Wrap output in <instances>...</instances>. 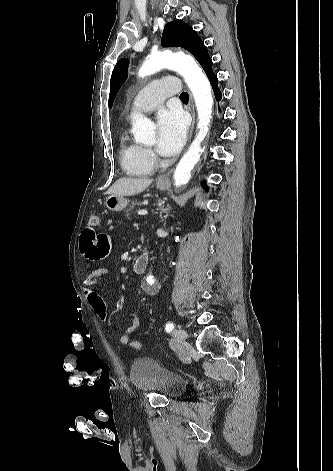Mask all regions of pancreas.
<instances>
[{
  "mask_svg": "<svg viewBox=\"0 0 333 471\" xmlns=\"http://www.w3.org/2000/svg\"><path fill=\"white\" fill-rule=\"evenodd\" d=\"M136 205H141L140 202H132V204L130 205V207L128 209H126V215L129 216V212L133 211V208L136 206Z\"/></svg>",
  "mask_w": 333,
  "mask_h": 471,
  "instance_id": "obj_1",
  "label": "pancreas"
}]
</instances>
